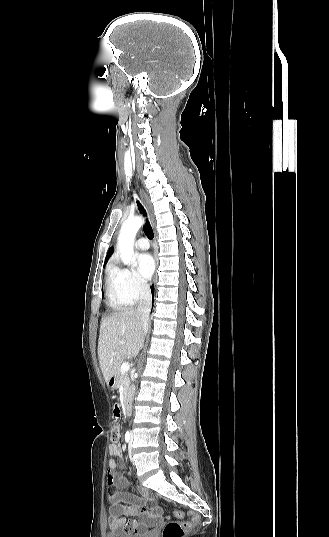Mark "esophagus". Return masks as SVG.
Masks as SVG:
<instances>
[{
  "label": "esophagus",
  "mask_w": 329,
  "mask_h": 537,
  "mask_svg": "<svg viewBox=\"0 0 329 537\" xmlns=\"http://www.w3.org/2000/svg\"><path fill=\"white\" fill-rule=\"evenodd\" d=\"M140 193H141V198H142V200H143V203H144V205H145V207H146V210H147V212H148L149 219H150V223H151V226H152V228H153V230H154L155 240H156V238H157V235H156V228H155L156 223H155V216H154V210H153L152 203H151V201H150L148 195L146 194V192H145L143 189H141ZM155 266H156V268H157V266H158V259H157V255H156V254H155ZM156 276H157V275H156V272H155L154 279H156Z\"/></svg>",
  "instance_id": "34e87169"
}]
</instances>
